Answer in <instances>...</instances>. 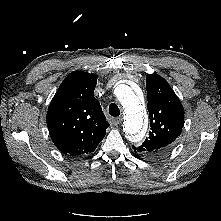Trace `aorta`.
I'll use <instances>...</instances> for the list:
<instances>
[{
	"label": "aorta",
	"instance_id": "aorta-1",
	"mask_svg": "<svg viewBox=\"0 0 221 221\" xmlns=\"http://www.w3.org/2000/svg\"><path fill=\"white\" fill-rule=\"evenodd\" d=\"M115 95L124 110L123 130L127 138L132 142L140 141L144 137L148 123L145 107L133 89L126 84L117 86Z\"/></svg>",
	"mask_w": 221,
	"mask_h": 221
}]
</instances>
